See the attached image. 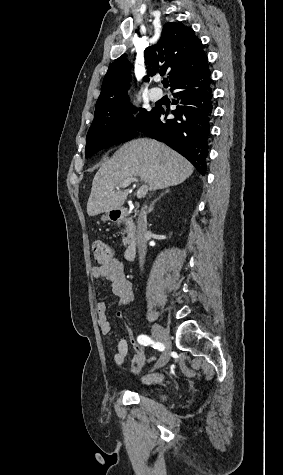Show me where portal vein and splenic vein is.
<instances>
[{"instance_id": "1", "label": "portal vein and splenic vein", "mask_w": 283, "mask_h": 475, "mask_svg": "<svg viewBox=\"0 0 283 475\" xmlns=\"http://www.w3.org/2000/svg\"><path fill=\"white\" fill-rule=\"evenodd\" d=\"M133 182H138L137 178H127V180H124V182H121V184H119L118 188H127V186H130V184H133ZM147 192H148V186H141L136 196L137 198H144Z\"/></svg>"}]
</instances>
